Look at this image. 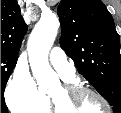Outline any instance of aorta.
<instances>
[{"label": "aorta", "mask_w": 121, "mask_h": 113, "mask_svg": "<svg viewBox=\"0 0 121 113\" xmlns=\"http://www.w3.org/2000/svg\"><path fill=\"white\" fill-rule=\"evenodd\" d=\"M59 25V20L55 14L43 15L28 39L30 67L41 92H47L58 82V76L49 65L48 55Z\"/></svg>", "instance_id": "762f6f07"}]
</instances>
